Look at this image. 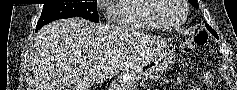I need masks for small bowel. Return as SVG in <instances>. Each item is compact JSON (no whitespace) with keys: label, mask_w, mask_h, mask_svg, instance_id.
Returning <instances> with one entry per match:
<instances>
[{"label":"small bowel","mask_w":237,"mask_h":90,"mask_svg":"<svg viewBox=\"0 0 237 90\" xmlns=\"http://www.w3.org/2000/svg\"><path fill=\"white\" fill-rule=\"evenodd\" d=\"M203 80L205 84H209L212 80V76L209 73H207L204 75ZM189 90H203V89L199 86H193Z\"/></svg>","instance_id":"small-bowel-1"}]
</instances>
